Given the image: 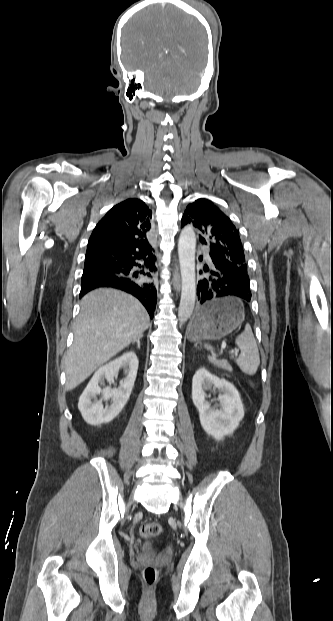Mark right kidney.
Instances as JSON below:
<instances>
[{
    "instance_id": "ca27d5eb",
    "label": "right kidney",
    "mask_w": 333,
    "mask_h": 621,
    "mask_svg": "<svg viewBox=\"0 0 333 621\" xmlns=\"http://www.w3.org/2000/svg\"><path fill=\"white\" fill-rule=\"evenodd\" d=\"M138 358L132 351L122 354L115 360L100 367L86 386L78 402L83 419L90 425H98L112 421L127 403L138 370ZM120 368L124 369L126 378L118 388L110 386L101 389L104 380L113 382ZM102 394L103 400L112 399V404L104 408L102 400L97 401L98 394ZM95 399L93 402L92 400Z\"/></svg>"
}]
</instances>
